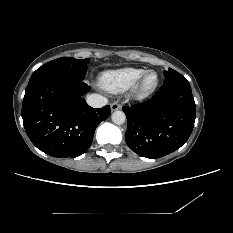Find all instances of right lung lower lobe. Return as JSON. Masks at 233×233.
Segmentation results:
<instances>
[{
    "mask_svg": "<svg viewBox=\"0 0 233 233\" xmlns=\"http://www.w3.org/2000/svg\"><path fill=\"white\" fill-rule=\"evenodd\" d=\"M90 88L82 80L52 74L31 79L22 105L25 131L44 153L75 158L91 145L96 127L110 114V106L90 107L83 95Z\"/></svg>",
    "mask_w": 233,
    "mask_h": 233,
    "instance_id": "1",
    "label": "right lung lower lobe"
}]
</instances>
